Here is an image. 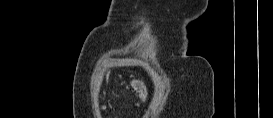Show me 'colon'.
Masks as SVG:
<instances>
[{
    "label": "colon",
    "mask_w": 273,
    "mask_h": 118,
    "mask_svg": "<svg viewBox=\"0 0 273 118\" xmlns=\"http://www.w3.org/2000/svg\"><path fill=\"white\" fill-rule=\"evenodd\" d=\"M130 86L137 93L140 102H144L147 98V90L144 83L139 79H133Z\"/></svg>",
    "instance_id": "1"
}]
</instances>
